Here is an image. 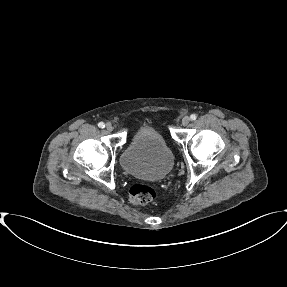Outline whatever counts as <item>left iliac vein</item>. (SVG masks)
Listing matches in <instances>:
<instances>
[{
  "mask_svg": "<svg viewBox=\"0 0 287 287\" xmlns=\"http://www.w3.org/2000/svg\"><path fill=\"white\" fill-rule=\"evenodd\" d=\"M190 122V118L188 116H185L183 119H182V125L183 126H187Z\"/></svg>",
  "mask_w": 287,
  "mask_h": 287,
  "instance_id": "4c4485c4",
  "label": "left iliac vein"
}]
</instances>
